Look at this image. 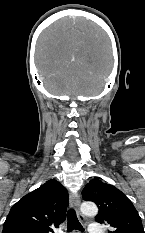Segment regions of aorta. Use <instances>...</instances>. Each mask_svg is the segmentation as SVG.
Segmentation results:
<instances>
[{
    "label": "aorta",
    "mask_w": 145,
    "mask_h": 233,
    "mask_svg": "<svg viewBox=\"0 0 145 233\" xmlns=\"http://www.w3.org/2000/svg\"><path fill=\"white\" fill-rule=\"evenodd\" d=\"M81 212L87 216H95L98 213V208L93 202H84L81 205Z\"/></svg>",
    "instance_id": "1"
}]
</instances>
